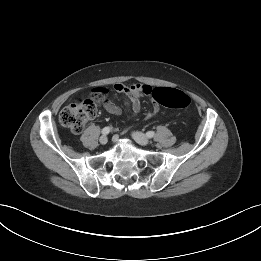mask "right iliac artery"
I'll return each instance as SVG.
<instances>
[{
	"instance_id": "1",
	"label": "right iliac artery",
	"mask_w": 261,
	"mask_h": 261,
	"mask_svg": "<svg viewBox=\"0 0 261 261\" xmlns=\"http://www.w3.org/2000/svg\"><path fill=\"white\" fill-rule=\"evenodd\" d=\"M110 130H111V127H105L102 129V134L107 135L110 132Z\"/></svg>"
}]
</instances>
